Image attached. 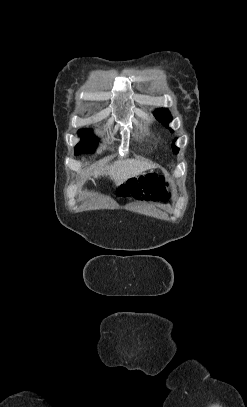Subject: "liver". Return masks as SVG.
Segmentation results:
<instances>
[{
  "mask_svg": "<svg viewBox=\"0 0 247 407\" xmlns=\"http://www.w3.org/2000/svg\"><path fill=\"white\" fill-rule=\"evenodd\" d=\"M154 167V164L140 159H128L125 161H115L104 169L96 170L94 175L98 177L109 176L116 185L126 182L130 178H134L144 171Z\"/></svg>",
  "mask_w": 247,
  "mask_h": 407,
  "instance_id": "obj_1",
  "label": "liver"
}]
</instances>
